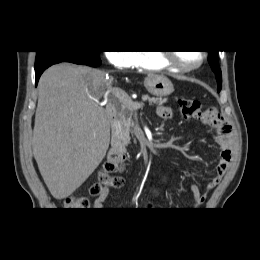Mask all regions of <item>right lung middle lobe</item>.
Returning <instances> with one entry per match:
<instances>
[{
    "mask_svg": "<svg viewBox=\"0 0 260 260\" xmlns=\"http://www.w3.org/2000/svg\"><path fill=\"white\" fill-rule=\"evenodd\" d=\"M58 53H62V52H54V51H43V52H41V51H37L35 66L39 65L44 60H46L49 57H51L55 54H58ZM73 53L86 54V55L100 57L99 51L73 52Z\"/></svg>",
    "mask_w": 260,
    "mask_h": 260,
    "instance_id": "1",
    "label": "right lung middle lobe"
}]
</instances>
